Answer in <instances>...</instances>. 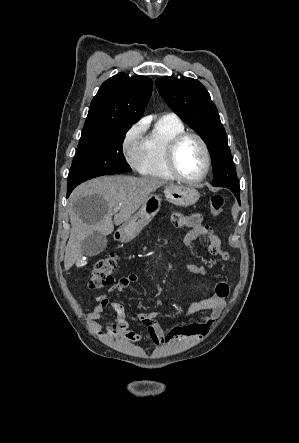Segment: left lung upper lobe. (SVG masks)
<instances>
[{"mask_svg": "<svg viewBox=\"0 0 299 443\" xmlns=\"http://www.w3.org/2000/svg\"><path fill=\"white\" fill-rule=\"evenodd\" d=\"M156 86L168 106L206 143L214 173L212 185L240 189L225 129L206 88L189 77H162Z\"/></svg>", "mask_w": 299, "mask_h": 443, "instance_id": "left-lung-upper-lobe-1", "label": "left lung upper lobe"}]
</instances>
